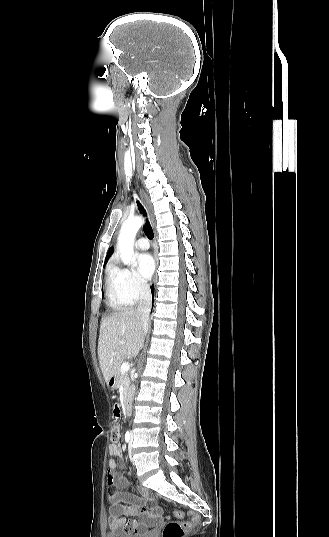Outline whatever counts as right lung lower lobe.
<instances>
[{"label": "right lung lower lobe", "mask_w": 329, "mask_h": 537, "mask_svg": "<svg viewBox=\"0 0 329 537\" xmlns=\"http://www.w3.org/2000/svg\"><path fill=\"white\" fill-rule=\"evenodd\" d=\"M151 292H152V295L154 296V289H153V287H151Z\"/></svg>", "instance_id": "obj_1"}]
</instances>
